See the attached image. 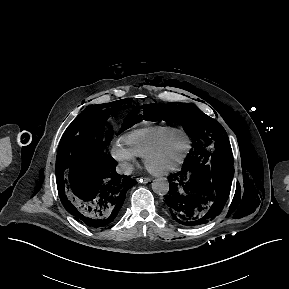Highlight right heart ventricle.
I'll use <instances>...</instances> for the list:
<instances>
[{
  "mask_svg": "<svg viewBox=\"0 0 289 289\" xmlns=\"http://www.w3.org/2000/svg\"><path fill=\"white\" fill-rule=\"evenodd\" d=\"M176 131L179 130L170 126H147L125 134L121 138V142L135 156L144 157L150 149L161 143Z\"/></svg>",
  "mask_w": 289,
  "mask_h": 289,
  "instance_id": "e07e8e85",
  "label": "right heart ventricle"
}]
</instances>
